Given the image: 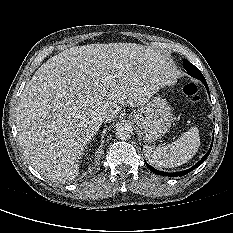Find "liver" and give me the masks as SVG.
I'll return each instance as SVG.
<instances>
[{
  "mask_svg": "<svg viewBox=\"0 0 233 233\" xmlns=\"http://www.w3.org/2000/svg\"><path fill=\"white\" fill-rule=\"evenodd\" d=\"M173 75L163 55L133 43L72 47L48 59L20 96L18 137L32 167L64 182L79 173L82 154L120 105L144 106Z\"/></svg>",
  "mask_w": 233,
  "mask_h": 233,
  "instance_id": "obj_1",
  "label": "liver"
}]
</instances>
